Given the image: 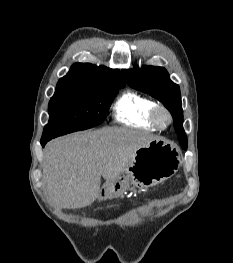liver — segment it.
<instances>
[{
	"mask_svg": "<svg viewBox=\"0 0 233 263\" xmlns=\"http://www.w3.org/2000/svg\"><path fill=\"white\" fill-rule=\"evenodd\" d=\"M157 138L128 128H103L49 142L43 179L52 201L67 209L91 205L100 195L101 177L116 180L136 150Z\"/></svg>",
	"mask_w": 233,
	"mask_h": 263,
	"instance_id": "liver-1",
	"label": "liver"
}]
</instances>
